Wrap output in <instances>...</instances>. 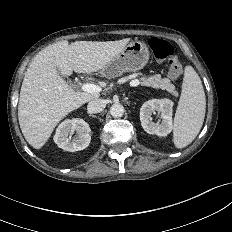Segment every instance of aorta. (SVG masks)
<instances>
[{
    "label": "aorta",
    "instance_id": "aorta-1",
    "mask_svg": "<svg viewBox=\"0 0 232 232\" xmlns=\"http://www.w3.org/2000/svg\"><path fill=\"white\" fill-rule=\"evenodd\" d=\"M110 114L115 117L119 118L122 117L124 114V107L120 103H115L110 107Z\"/></svg>",
    "mask_w": 232,
    "mask_h": 232
}]
</instances>
